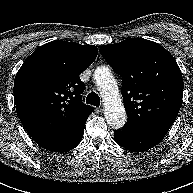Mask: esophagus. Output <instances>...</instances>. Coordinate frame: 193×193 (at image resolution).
Returning a JSON list of instances; mask_svg holds the SVG:
<instances>
[{"label":"esophagus","mask_w":193,"mask_h":193,"mask_svg":"<svg viewBox=\"0 0 193 193\" xmlns=\"http://www.w3.org/2000/svg\"><path fill=\"white\" fill-rule=\"evenodd\" d=\"M103 110H104L103 106L96 108V111L99 113L103 112Z\"/></svg>","instance_id":"1"}]
</instances>
